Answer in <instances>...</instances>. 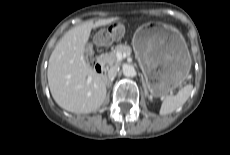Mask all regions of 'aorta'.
Returning <instances> with one entry per match:
<instances>
[{
	"mask_svg": "<svg viewBox=\"0 0 230 155\" xmlns=\"http://www.w3.org/2000/svg\"><path fill=\"white\" fill-rule=\"evenodd\" d=\"M122 70L123 75L126 77H133L136 74L135 68L132 65H124Z\"/></svg>",
	"mask_w": 230,
	"mask_h": 155,
	"instance_id": "762f6f07",
	"label": "aorta"
}]
</instances>
